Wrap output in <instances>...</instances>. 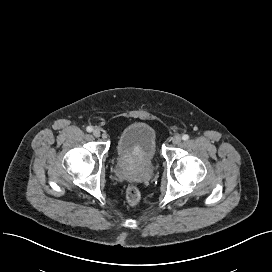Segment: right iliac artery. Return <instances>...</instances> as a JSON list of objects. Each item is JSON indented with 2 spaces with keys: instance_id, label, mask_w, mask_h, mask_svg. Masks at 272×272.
Returning <instances> with one entry per match:
<instances>
[{
  "instance_id": "82829eb1",
  "label": "right iliac artery",
  "mask_w": 272,
  "mask_h": 272,
  "mask_svg": "<svg viewBox=\"0 0 272 272\" xmlns=\"http://www.w3.org/2000/svg\"><path fill=\"white\" fill-rule=\"evenodd\" d=\"M86 130H87V132H92L93 128H92L91 126H88V127L86 128Z\"/></svg>"
}]
</instances>
